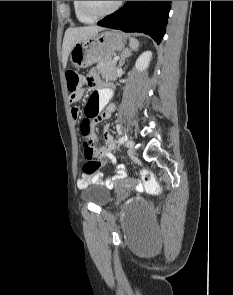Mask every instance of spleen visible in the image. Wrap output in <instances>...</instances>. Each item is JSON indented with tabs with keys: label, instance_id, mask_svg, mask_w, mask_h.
I'll list each match as a JSON object with an SVG mask.
<instances>
[{
	"label": "spleen",
	"instance_id": "obj_1",
	"mask_svg": "<svg viewBox=\"0 0 233 295\" xmlns=\"http://www.w3.org/2000/svg\"><path fill=\"white\" fill-rule=\"evenodd\" d=\"M138 46H139L138 40L135 39V38H130V47L132 49H135L136 50L138 48Z\"/></svg>",
	"mask_w": 233,
	"mask_h": 295
}]
</instances>
